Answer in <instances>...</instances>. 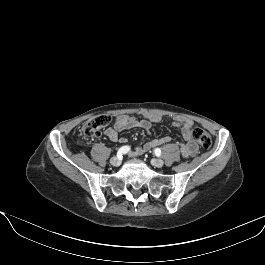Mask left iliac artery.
<instances>
[{
  "mask_svg": "<svg viewBox=\"0 0 265 265\" xmlns=\"http://www.w3.org/2000/svg\"><path fill=\"white\" fill-rule=\"evenodd\" d=\"M154 153L157 155V156H160L161 155V149L160 148H156L154 150Z\"/></svg>",
  "mask_w": 265,
  "mask_h": 265,
  "instance_id": "1",
  "label": "left iliac artery"
}]
</instances>
